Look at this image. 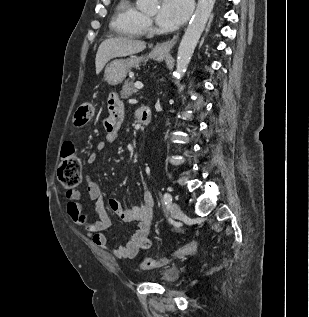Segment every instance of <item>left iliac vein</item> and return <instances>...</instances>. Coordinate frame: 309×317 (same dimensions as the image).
I'll list each match as a JSON object with an SVG mask.
<instances>
[{
  "instance_id": "left-iliac-vein-1",
  "label": "left iliac vein",
  "mask_w": 309,
  "mask_h": 317,
  "mask_svg": "<svg viewBox=\"0 0 309 317\" xmlns=\"http://www.w3.org/2000/svg\"><path fill=\"white\" fill-rule=\"evenodd\" d=\"M170 209H171L172 216H173L174 218H177V217H178L179 215H181V213H182V211H181V209H180V206H179L176 202H173V203L171 204Z\"/></svg>"
}]
</instances>
